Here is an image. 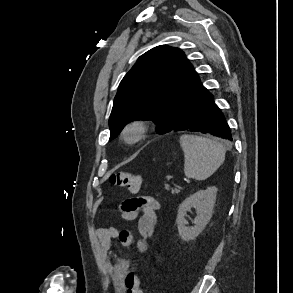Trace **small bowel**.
Returning <instances> with one entry per match:
<instances>
[{
  "label": "small bowel",
  "mask_w": 293,
  "mask_h": 293,
  "mask_svg": "<svg viewBox=\"0 0 293 293\" xmlns=\"http://www.w3.org/2000/svg\"><path fill=\"white\" fill-rule=\"evenodd\" d=\"M120 209L125 220L138 219L136 238L130 231H118L112 226L95 228L94 235L99 240L102 251L108 260V273L112 278L113 288L117 293H124L125 279L130 271L129 261L119 256L111 242L119 238L127 248H136L142 252L148 249V240L153 236L158 222V201L151 196H131L124 200Z\"/></svg>",
  "instance_id": "obj_1"
}]
</instances>
